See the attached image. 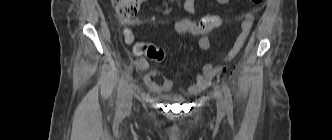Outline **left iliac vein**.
<instances>
[{"instance_id":"obj_1","label":"left iliac vein","mask_w":332,"mask_h":140,"mask_svg":"<svg viewBox=\"0 0 332 140\" xmlns=\"http://www.w3.org/2000/svg\"><path fill=\"white\" fill-rule=\"evenodd\" d=\"M217 107L220 112H224L226 108V102L221 92L216 94Z\"/></svg>"}]
</instances>
